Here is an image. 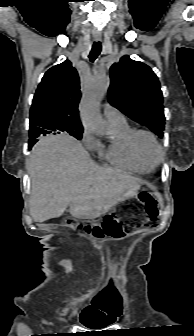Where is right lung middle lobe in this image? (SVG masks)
Masks as SVG:
<instances>
[{
	"instance_id": "right-lung-middle-lobe-1",
	"label": "right lung middle lobe",
	"mask_w": 194,
	"mask_h": 336,
	"mask_svg": "<svg viewBox=\"0 0 194 336\" xmlns=\"http://www.w3.org/2000/svg\"><path fill=\"white\" fill-rule=\"evenodd\" d=\"M68 133L77 139H81L82 137V130H72V131H69Z\"/></svg>"
}]
</instances>
